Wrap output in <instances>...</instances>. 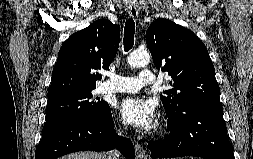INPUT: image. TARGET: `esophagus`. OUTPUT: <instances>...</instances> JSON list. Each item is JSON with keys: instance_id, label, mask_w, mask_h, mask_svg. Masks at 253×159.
<instances>
[{"instance_id": "1", "label": "esophagus", "mask_w": 253, "mask_h": 159, "mask_svg": "<svg viewBox=\"0 0 253 159\" xmlns=\"http://www.w3.org/2000/svg\"><path fill=\"white\" fill-rule=\"evenodd\" d=\"M129 16L136 20L138 18V6L136 2H132L127 6ZM136 159H147V154L144 147L139 142H135Z\"/></svg>"}]
</instances>
